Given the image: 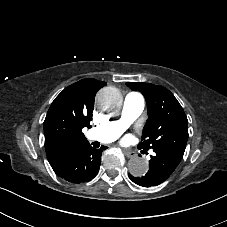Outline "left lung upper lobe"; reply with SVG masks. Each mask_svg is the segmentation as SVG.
<instances>
[{"instance_id":"5c2ea615","label":"left lung upper lobe","mask_w":227,"mask_h":227,"mask_svg":"<svg viewBox=\"0 0 227 227\" xmlns=\"http://www.w3.org/2000/svg\"><path fill=\"white\" fill-rule=\"evenodd\" d=\"M126 85L140 91L147 103L149 117L138 148L181 160L188 140V120L177 99L160 85L136 82H127Z\"/></svg>"}]
</instances>
